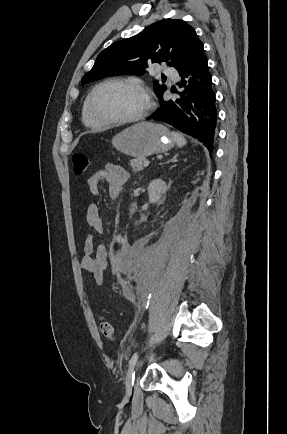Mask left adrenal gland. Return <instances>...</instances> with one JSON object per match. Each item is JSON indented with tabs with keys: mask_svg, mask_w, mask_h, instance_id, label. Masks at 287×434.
Returning a JSON list of instances; mask_svg holds the SVG:
<instances>
[{
	"mask_svg": "<svg viewBox=\"0 0 287 434\" xmlns=\"http://www.w3.org/2000/svg\"><path fill=\"white\" fill-rule=\"evenodd\" d=\"M177 157H178V154H175V155L172 157V159H170V160H168V161L166 162V164H167V163H170V162H176V161H177Z\"/></svg>",
	"mask_w": 287,
	"mask_h": 434,
	"instance_id": "1",
	"label": "left adrenal gland"
}]
</instances>
